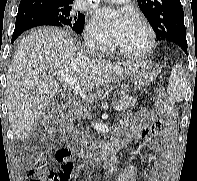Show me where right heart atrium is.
Listing matches in <instances>:
<instances>
[{"instance_id":"d8ad5b80","label":"right heart atrium","mask_w":197,"mask_h":181,"mask_svg":"<svg viewBox=\"0 0 197 181\" xmlns=\"http://www.w3.org/2000/svg\"><path fill=\"white\" fill-rule=\"evenodd\" d=\"M85 38L90 46L100 51L106 50L110 45V38L94 20L86 26Z\"/></svg>"}]
</instances>
